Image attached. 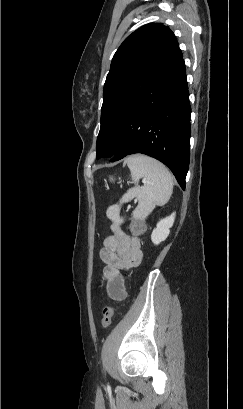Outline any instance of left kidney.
Listing matches in <instances>:
<instances>
[{"instance_id": "obj_1", "label": "left kidney", "mask_w": 243, "mask_h": 409, "mask_svg": "<svg viewBox=\"0 0 243 409\" xmlns=\"http://www.w3.org/2000/svg\"><path fill=\"white\" fill-rule=\"evenodd\" d=\"M175 219V213H172L170 216L161 219L156 228L151 234V240L155 245L160 244L162 241L166 240L170 233V228L173 226Z\"/></svg>"}]
</instances>
